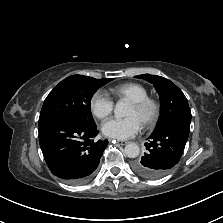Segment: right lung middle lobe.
I'll use <instances>...</instances> for the list:
<instances>
[{
  "label": "right lung middle lobe",
  "mask_w": 223,
  "mask_h": 223,
  "mask_svg": "<svg viewBox=\"0 0 223 223\" xmlns=\"http://www.w3.org/2000/svg\"><path fill=\"white\" fill-rule=\"evenodd\" d=\"M113 78L95 79L73 75L61 81L47 96L41 109L39 125L56 118L68 117L95 125L90 110L93 94Z\"/></svg>",
  "instance_id": "obj_1"
}]
</instances>
